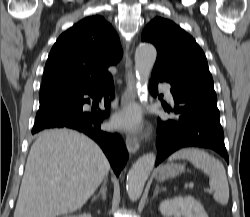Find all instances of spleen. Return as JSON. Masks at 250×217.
<instances>
[{"mask_svg":"<svg viewBox=\"0 0 250 217\" xmlns=\"http://www.w3.org/2000/svg\"><path fill=\"white\" fill-rule=\"evenodd\" d=\"M187 159L196 168L209 176V185L213 190V198L221 205H226L229 200V185L223 164L204 150L186 148L179 150L169 157V161Z\"/></svg>","mask_w":250,"mask_h":217,"instance_id":"3e777b00","label":"spleen"}]
</instances>
